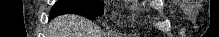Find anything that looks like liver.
<instances>
[{"label":"liver","instance_id":"6515ba94","mask_svg":"<svg viewBox=\"0 0 219 37\" xmlns=\"http://www.w3.org/2000/svg\"><path fill=\"white\" fill-rule=\"evenodd\" d=\"M50 28L52 35H58L53 37H97L92 23L76 15L59 16Z\"/></svg>","mask_w":219,"mask_h":37}]
</instances>
